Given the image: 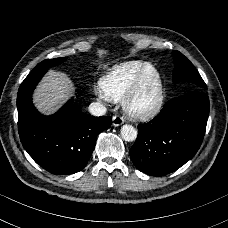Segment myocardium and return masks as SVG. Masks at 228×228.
<instances>
[{
	"label": "myocardium",
	"mask_w": 228,
	"mask_h": 228,
	"mask_svg": "<svg viewBox=\"0 0 228 228\" xmlns=\"http://www.w3.org/2000/svg\"><path fill=\"white\" fill-rule=\"evenodd\" d=\"M150 71L155 72L157 76V99L153 105L143 106L139 103V97L144 82ZM165 104V86L161 71L154 65L146 67L137 77L132 88L123 98L122 106L126 114L138 120H150L157 116Z\"/></svg>",
	"instance_id": "obj_1"
}]
</instances>
